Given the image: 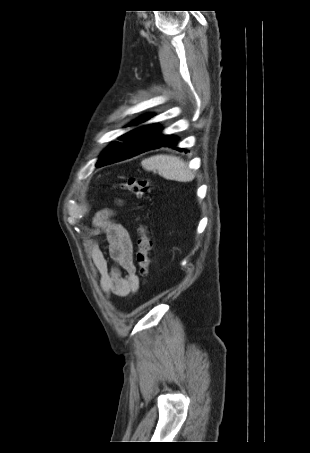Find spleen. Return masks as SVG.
Segmentation results:
<instances>
[{
	"mask_svg": "<svg viewBox=\"0 0 310 453\" xmlns=\"http://www.w3.org/2000/svg\"><path fill=\"white\" fill-rule=\"evenodd\" d=\"M145 170H156L160 176L167 180L189 182L195 177L183 159L173 155H155L141 162Z\"/></svg>",
	"mask_w": 310,
	"mask_h": 453,
	"instance_id": "3e777b00",
	"label": "spleen"
}]
</instances>
